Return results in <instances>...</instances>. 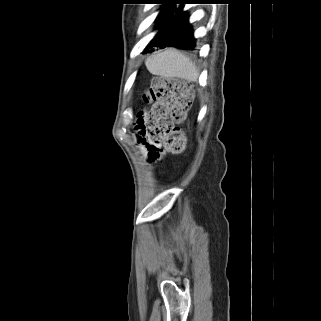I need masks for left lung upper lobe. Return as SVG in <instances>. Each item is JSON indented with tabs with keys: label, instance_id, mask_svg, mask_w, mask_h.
<instances>
[{
	"label": "left lung upper lobe",
	"instance_id": "obj_1",
	"mask_svg": "<svg viewBox=\"0 0 321 321\" xmlns=\"http://www.w3.org/2000/svg\"><path fill=\"white\" fill-rule=\"evenodd\" d=\"M158 3L164 4L159 15L157 16V29L158 32L155 35L154 39L151 41V44L155 41L160 40L164 32L166 30V27L168 25L169 20L171 19L172 15L176 11L175 4H179L182 0H157Z\"/></svg>",
	"mask_w": 321,
	"mask_h": 321
}]
</instances>
